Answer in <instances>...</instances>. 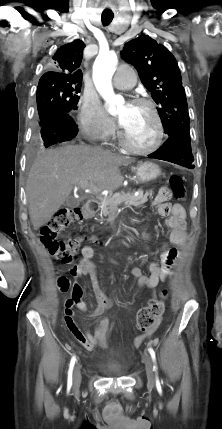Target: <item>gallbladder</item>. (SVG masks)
I'll list each match as a JSON object with an SVG mask.
<instances>
[{
	"instance_id": "1",
	"label": "gallbladder",
	"mask_w": 222,
	"mask_h": 429,
	"mask_svg": "<svg viewBox=\"0 0 222 429\" xmlns=\"http://www.w3.org/2000/svg\"><path fill=\"white\" fill-rule=\"evenodd\" d=\"M80 199H77L73 196H70L64 203L65 206L67 207H77L80 204Z\"/></svg>"
}]
</instances>
